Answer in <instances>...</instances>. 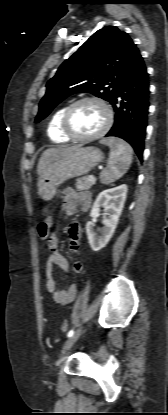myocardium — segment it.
I'll list each match as a JSON object with an SVG mask.
<instances>
[{"mask_svg": "<svg viewBox=\"0 0 168 415\" xmlns=\"http://www.w3.org/2000/svg\"><path fill=\"white\" fill-rule=\"evenodd\" d=\"M86 102H94L99 104L105 111L106 114V119H105V123L103 125V127L96 133L92 134V135H87V136H81V135H77L75 134L71 128H70V116L73 112V110L80 104L82 103H86ZM113 123V112L110 108V106L103 101L102 99L98 98V97H94V96H90V97H83L80 98L74 102H72L71 104H69L66 109L63 112L62 118H61V130L63 132V134L68 137L70 140H74V141H92V140H96L98 138H101L102 136H104L110 129V127L112 126Z\"/></svg>", "mask_w": 168, "mask_h": 415, "instance_id": "obj_1", "label": "myocardium"}]
</instances>
